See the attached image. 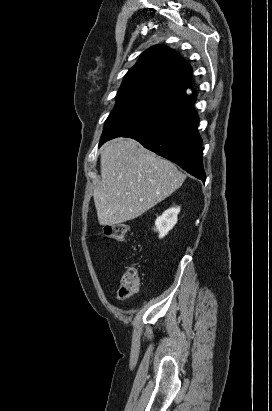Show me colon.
<instances>
[{
    "label": "colon",
    "instance_id": "5ec220e1",
    "mask_svg": "<svg viewBox=\"0 0 272 411\" xmlns=\"http://www.w3.org/2000/svg\"><path fill=\"white\" fill-rule=\"evenodd\" d=\"M128 227L125 224H108L103 228L104 236L113 240L124 242L127 239ZM140 286L138 269L129 266L124 271L119 285L118 296L121 299H128L134 296Z\"/></svg>",
    "mask_w": 272,
    "mask_h": 411
}]
</instances>
